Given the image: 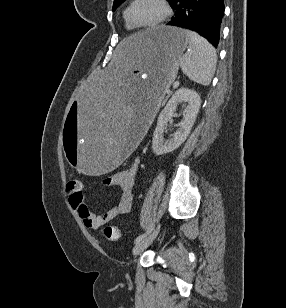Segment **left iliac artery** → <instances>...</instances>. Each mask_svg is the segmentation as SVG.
Listing matches in <instances>:
<instances>
[{
  "label": "left iliac artery",
  "mask_w": 286,
  "mask_h": 308,
  "mask_svg": "<svg viewBox=\"0 0 286 308\" xmlns=\"http://www.w3.org/2000/svg\"><path fill=\"white\" fill-rule=\"evenodd\" d=\"M153 230V228H151L150 230L146 231L145 233L139 235L136 239H135V243L141 241L143 238H145L151 231Z\"/></svg>",
  "instance_id": "1"
}]
</instances>
